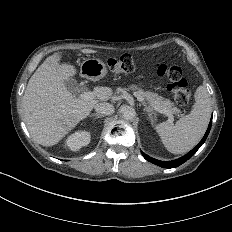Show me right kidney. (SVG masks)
<instances>
[{
	"label": "right kidney",
	"instance_id": "obj_1",
	"mask_svg": "<svg viewBox=\"0 0 232 232\" xmlns=\"http://www.w3.org/2000/svg\"><path fill=\"white\" fill-rule=\"evenodd\" d=\"M89 141H90L89 134L85 132H80V133H76L75 135H72L71 137H69L67 141V145L72 151H77L82 146L87 145Z\"/></svg>",
	"mask_w": 232,
	"mask_h": 232
}]
</instances>
